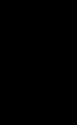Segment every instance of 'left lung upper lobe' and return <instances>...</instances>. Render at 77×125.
<instances>
[{
    "label": "left lung upper lobe",
    "instance_id": "left-lung-upper-lobe-1",
    "mask_svg": "<svg viewBox=\"0 0 77 125\" xmlns=\"http://www.w3.org/2000/svg\"><path fill=\"white\" fill-rule=\"evenodd\" d=\"M63 24H65V21L62 22V28L64 29L65 31V37L66 39H70L71 38V26H63Z\"/></svg>",
    "mask_w": 77,
    "mask_h": 125
}]
</instances>
